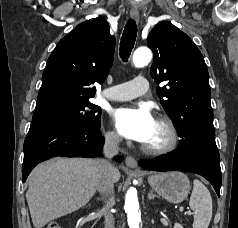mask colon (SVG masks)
I'll use <instances>...</instances> for the list:
<instances>
[{"label":"colon","mask_w":238,"mask_h":228,"mask_svg":"<svg viewBox=\"0 0 238 228\" xmlns=\"http://www.w3.org/2000/svg\"><path fill=\"white\" fill-rule=\"evenodd\" d=\"M47 228H60V225L56 222H53L49 224Z\"/></svg>","instance_id":"1"}]
</instances>
